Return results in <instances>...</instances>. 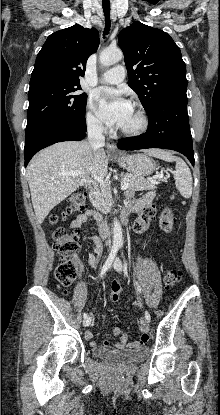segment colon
Listing matches in <instances>:
<instances>
[{
  "mask_svg": "<svg viewBox=\"0 0 220 415\" xmlns=\"http://www.w3.org/2000/svg\"><path fill=\"white\" fill-rule=\"evenodd\" d=\"M88 201L87 193L84 191H76L69 197L68 204L61 213L50 215L49 222L52 225H57L62 220L66 219L77 212L84 209ZM154 206H146L143 210V216L154 217ZM161 229L170 233L175 226V217L170 209L166 208L160 215ZM54 248L60 257V263L56 268L55 276L62 288H68L75 281L78 273L79 263L77 261V252L80 248V241L78 234L69 232L63 228H57L53 233ZM179 274L175 269H169L164 277V283L167 288L172 287L178 281ZM120 298V294L112 292L110 301L116 303ZM143 339H149V334H143Z\"/></svg>",
  "mask_w": 220,
  "mask_h": 415,
  "instance_id": "5ec220e1",
  "label": "colon"
}]
</instances>
